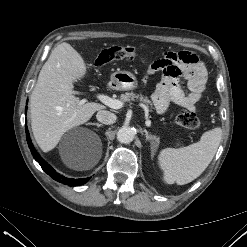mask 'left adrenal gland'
Returning a JSON list of instances; mask_svg holds the SVG:
<instances>
[{"instance_id":"obj_1","label":"left adrenal gland","mask_w":247,"mask_h":247,"mask_svg":"<svg viewBox=\"0 0 247 247\" xmlns=\"http://www.w3.org/2000/svg\"><path fill=\"white\" fill-rule=\"evenodd\" d=\"M145 137H146V141H149L151 143L150 148H151V157H152L154 152L153 147L156 144V142H158L159 139L155 135L148 133L146 130H145Z\"/></svg>"}]
</instances>
